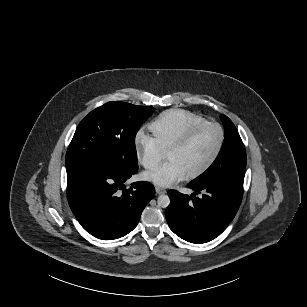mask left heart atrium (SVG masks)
I'll use <instances>...</instances> for the list:
<instances>
[{
	"instance_id": "39dd6f15",
	"label": "left heart atrium",
	"mask_w": 307,
	"mask_h": 307,
	"mask_svg": "<svg viewBox=\"0 0 307 307\" xmlns=\"http://www.w3.org/2000/svg\"><path fill=\"white\" fill-rule=\"evenodd\" d=\"M141 177L158 186L165 187L173 182L183 180L186 177V174L174 162L166 161L155 169L144 172Z\"/></svg>"
}]
</instances>
